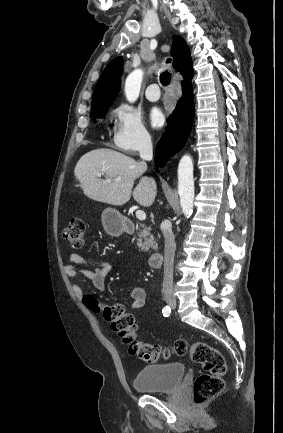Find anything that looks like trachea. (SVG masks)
<instances>
[{"label":"trachea","mask_w":283,"mask_h":433,"mask_svg":"<svg viewBox=\"0 0 283 433\" xmlns=\"http://www.w3.org/2000/svg\"><path fill=\"white\" fill-rule=\"evenodd\" d=\"M171 59L168 58L166 63H170ZM171 80V73L168 72V70H165L164 72L161 73L160 75V82L162 83V85H164V87H166L167 85H169Z\"/></svg>","instance_id":"1"}]
</instances>
